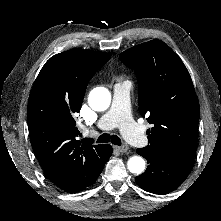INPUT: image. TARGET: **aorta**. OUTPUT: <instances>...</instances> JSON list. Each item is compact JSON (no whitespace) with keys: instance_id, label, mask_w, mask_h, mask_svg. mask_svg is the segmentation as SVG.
<instances>
[{"instance_id":"obj_1","label":"aorta","mask_w":221,"mask_h":221,"mask_svg":"<svg viewBox=\"0 0 221 221\" xmlns=\"http://www.w3.org/2000/svg\"><path fill=\"white\" fill-rule=\"evenodd\" d=\"M111 102V94L104 87L94 88L88 97L89 106L95 111L106 110ZM128 170L133 174H141L145 170V160L141 156H133L127 162Z\"/></svg>"}]
</instances>
